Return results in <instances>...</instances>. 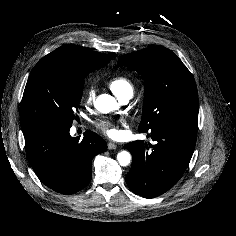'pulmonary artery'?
<instances>
[{"label": "pulmonary artery", "instance_id": "1", "mask_svg": "<svg viewBox=\"0 0 236 236\" xmlns=\"http://www.w3.org/2000/svg\"><path fill=\"white\" fill-rule=\"evenodd\" d=\"M132 97V94H126L124 96H121L119 98V100L122 102V103H127Z\"/></svg>", "mask_w": 236, "mask_h": 236}]
</instances>
